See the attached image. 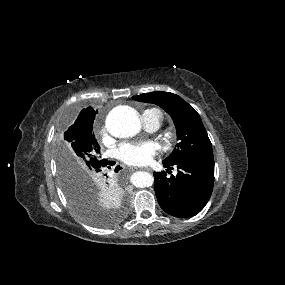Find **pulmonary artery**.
Returning a JSON list of instances; mask_svg holds the SVG:
<instances>
[{
	"instance_id": "1",
	"label": "pulmonary artery",
	"mask_w": 285,
	"mask_h": 285,
	"mask_svg": "<svg viewBox=\"0 0 285 285\" xmlns=\"http://www.w3.org/2000/svg\"><path fill=\"white\" fill-rule=\"evenodd\" d=\"M143 124L148 131H156L161 125V113L157 110H146L142 115Z\"/></svg>"
}]
</instances>
